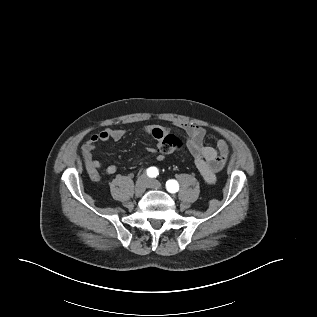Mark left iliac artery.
I'll return each mask as SVG.
<instances>
[{"mask_svg":"<svg viewBox=\"0 0 317 317\" xmlns=\"http://www.w3.org/2000/svg\"><path fill=\"white\" fill-rule=\"evenodd\" d=\"M166 188L169 192L175 193L179 190V184L176 180L171 179L166 182Z\"/></svg>","mask_w":317,"mask_h":317,"instance_id":"44dca946","label":"left iliac artery"}]
</instances>
